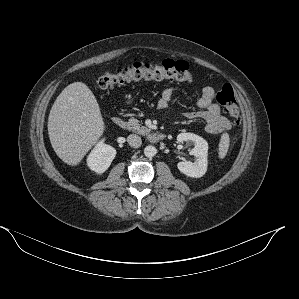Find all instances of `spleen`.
Segmentation results:
<instances>
[{"label": "spleen", "mask_w": 299, "mask_h": 299, "mask_svg": "<svg viewBox=\"0 0 299 299\" xmlns=\"http://www.w3.org/2000/svg\"><path fill=\"white\" fill-rule=\"evenodd\" d=\"M229 143V135L227 133H223L218 147V156L220 159H223L226 156L229 149Z\"/></svg>", "instance_id": "3e777b00"}]
</instances>
